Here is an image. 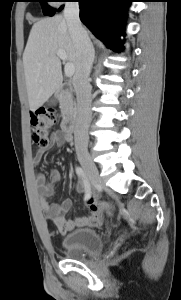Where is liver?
Masks as SVG:
<instances>
[{
  "label": "liver",
  "instance_id": "6515ba94",
  "mask_svg": "<svg viewBox=\"0 0 181 300\" xmlns=\"http://www.w3.org/2000/svg\"><path fill=\"white\" fill-rule=\"evenodd\" d=\"M66 52L75 66L76 49L67 22L61 15L36 22L29 34L23 53V66L31 111L41 107L63 81L61 61L57 51Z\"/></svg>",
  "mask_w": 181,
  "mask_h": 300
}]
</instances>
